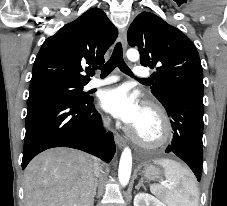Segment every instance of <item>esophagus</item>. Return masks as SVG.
Returning <instances> with one entry per match:
<instances>
[{
  "label": "esophagus",
  "instance_id": "34e87169",
  "mask_svg": "<svg viewBox=\"0 0 227 206\" xmlns=\"http://www.w3.org/2000/svg\"><path fill=\"white\" fill-rule=\"evenodd\" d=\"M120 42L122 43L123 49L127 48V31L126 29H122L119 34ZM115 142L119 149H122L125 145V139L119 133L115 134Z\"/></svg>",
  "mask_w": 227,
  "mask_h": 206
}]
</instances>
